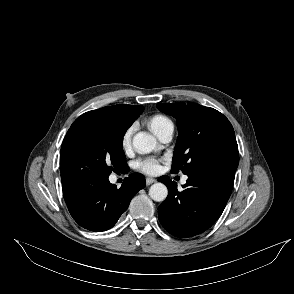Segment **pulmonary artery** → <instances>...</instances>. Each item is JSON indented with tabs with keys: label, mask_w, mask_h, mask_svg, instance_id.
Returning <instances> with one entry per match:
<instances>
[{
	"label": "pulmonary artery",
	"mask_w": 294,
	"mask_h": 294,
	"mask_svg": "<svg viewBox=\"0 0 294 294\" xmlns=\"http://www.w3.org/2000/svg\"><path fill=\"white\" fill-rule=\"evenodd\" d=\"M174 134V125H170L168 126L164 131L161 132V134L158 136V138L162 141V142H169ZM188 177L184 176L181 179V183L185 184L187 182Z\"/></svg>",
	"instance_id": "1"
}]
</instances>
